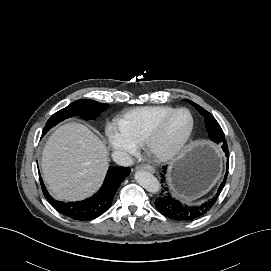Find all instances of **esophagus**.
I'll use <instances>...</instances> for the list:
<instances>
[{
  "mask_svg": "<svg viewBox=\"0 0 271 271\" xmlns=\"http://www.w3.org/2000/svg\"><path fill=\"white\" fill-rule=\"evenodd\" d=\"M137 170H145L150 173H155V168L153 166L147 165V164H142V165L137 166Z\"/></svg>",
  "mask_w": 271,
  "mask_h": 271,
  "instance_id": "34e87169",
  "label": "esophagus"
}]
</instances>
